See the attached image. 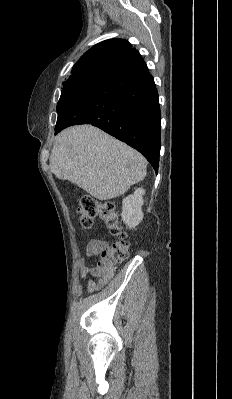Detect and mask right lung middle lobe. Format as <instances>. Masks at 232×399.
Wrapping results in <instances>:
<instances>
[{
	"label": "right lung middle lobe",
	"instance_id": "1",
	"mask_svg": "<svg viewBox=\"0 0 232 399\" xmlns=\"http://www.w3.org/2000/svg\"><path fill=\"white\" fill-rule=\"evenodd\" d=\"M103 80L96 78H81L74 79L63 83V91L60 96V99L57 103V112L59 113L60 109L68 102L72 101L83 93L93 88Z\"/></svg>",
	"mask_w": 232,
	"mask_h": 399
}]
</instances>
